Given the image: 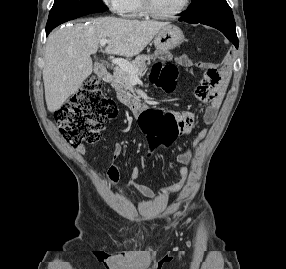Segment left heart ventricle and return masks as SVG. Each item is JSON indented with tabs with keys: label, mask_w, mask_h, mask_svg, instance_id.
I'll use <instances>...</instances> for the list:
<instances>
[{
	"label": "left heart ventricle",
	"mask_w": 286,
	"mask_h": 269,
	"mask_svg": "<svg viewBox=\"0 0 286 269\" xmlns=\"http://www.w3.org/2000/svg\"><path fill=\"white\" fill-rule=\"evenodd\" d=\"M184 0H151L155 11L166 14L177 10Z\"/></svg>",
	"instance_id": "obj_1"
}]
</instances>
